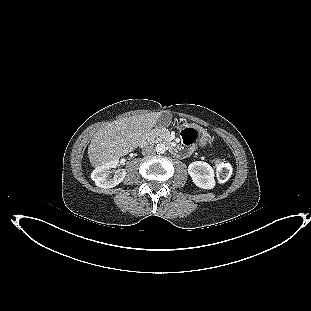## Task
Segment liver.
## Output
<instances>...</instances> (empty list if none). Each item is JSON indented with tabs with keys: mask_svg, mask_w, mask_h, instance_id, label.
I'll return each mask as SVG.
<instances>
[{
	"mask_svg": "<svg viewBox=\"0 0 311 311\" xmlns=\"http://www.w3.org/2000/svg\"><path fill=\"white\" fill-rule=\"evenodd\" d=\"M160 115L153 112L130 116L101 128L88 147L91 165L97 168L133 151L154 127Z\"/></svg>",
	"mask_w": 311,
	"mask_h": 311,
	"instance_id": "obj_1",
	"label": "liver"
}]
</instances>
